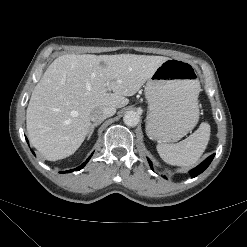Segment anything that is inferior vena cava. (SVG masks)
I'll list each match as a JSON object with an SVG mask.
<instances>
[{
	"mask_svg": "<svg viewBox=\"0 0 247 247\" xmlns=\"http://www.w3.org/2000/svg\"><path fill=\"white\" fill-rule=\"evenodd\" d=\"M115 113L116 108L114 107L98 108L91 112L90 119L94 123H101L104 119L113 116Z\"/></svg>",
	"mask_w": 247,
	"mask_h": 247,
	"instance_id": "602c4592",
	"label": "inferior vena cava"
}]
</instances>
